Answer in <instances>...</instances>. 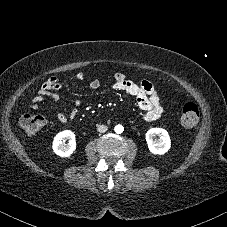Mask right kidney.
Segmentation results:
<instances>
[{
  "label": "right kidney",
  "mask_w": 227,
  "mask_h": 227,
  "mask_svg": "<svg viewBox=\"0 0 227 227\" xmlns=\"http://www.w3.org/2000/svg\"><path fill=\"white\" fill-rule=\"evenodd\" d=\"M66 140H68L67 144H65ZM52 148L54 153L60 157L70 156L76 149L75 134L70 130L59 132L54 137Z\"/></svg>",
  "instance_id": "ca27d5eb"
}]
</instances>
